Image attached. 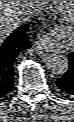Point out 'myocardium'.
<instances>
[{
	"label": "myocardium",
	"instance_id": "obj_1",
	"mask_svg": "<svg viewBox=\"0 0 74 122\" xmlns=\"http://www.w3.org/2000/svg\"><path fill=\"white\" fill-rule=\"evenodd\" d=\"M51 9L58 15H70L74 12V1H50Z\"/></svg>",
	"mask_w": 74,
	"mask_h": 122
}]
</instances>
